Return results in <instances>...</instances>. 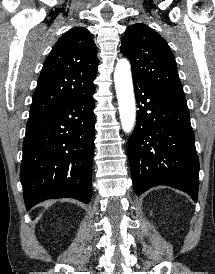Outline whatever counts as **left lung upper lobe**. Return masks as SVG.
<instances>
[{"instance_id": "5c2ea615", "label": "left lung upper lobe", "mask_w": 215, "mask_h": 274, "mask_svg": "<svg viewBox=\"0 0 215 274\" xmlns=\"http://www.w3.org/2000/svg\"><path fill=\"white\" fill-rule=\"evenodd\" d=\"M121 52L131 62L133 81L186 101L174 55L167 42L149 26L143 23L129 26Z\"/></svg>"}]
</instances>
